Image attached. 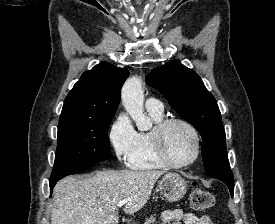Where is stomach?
I'll return each mask as SVG.
<instances>
[{
  "label": "stomach",
  "instance_id": "1",
  "mask_svg": "<svg viewBox=\"0 0 275 224\" xmlns=\"http://www.w3.org/2000/svg\"><path fill=\"white\" fill-rule=\"evenodd\" d=\"M158 189L166 200L175 202L185 195L187 182L176 173H167L158 182Z\"/></svg>",
  "mask_w": 275,
  "mask_h": 224
}]
</instances>
